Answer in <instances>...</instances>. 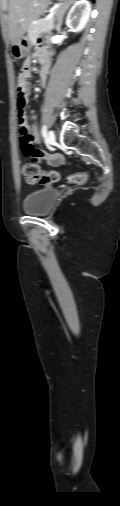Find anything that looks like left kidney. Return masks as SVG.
Wrapping results in <instances>:
<instances>
[{
    "mask_svg": "<svg viewBox=\"0 0 120 506\" xmlns=\"http://www.w3.org/2000/svg\"><path fill=\"white\" fill-rule=\"evenodd\" d=\"M91 13V5L87 0H79L70 9L66 26L72 32H80L87 24Z\"/></svg>",
    "mask_w": 120,
    "mask_h": 506,
    "instance_id": "obj_1",
    "label": "left kidney"
}]
</instances>
